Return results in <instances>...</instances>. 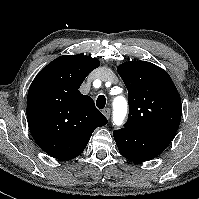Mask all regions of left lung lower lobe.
<instances>
[{
  "mask_svg": "<svg viewBox=\"0 0 199 199\" xmlns=\"http://www.w3.org/2000/svg\"><path fill=\"white\" fill-rule=\"evenodd\" d=\"M113 136L121 155L134 162L149 161L169 145L161 139L125 127L114 130Z\"/></svg>",
  "mask_w": 199,
  "mask_h": 199,
  "instance_id": "1",
  "label": "left lung lower lobe"
}]
</instances>
